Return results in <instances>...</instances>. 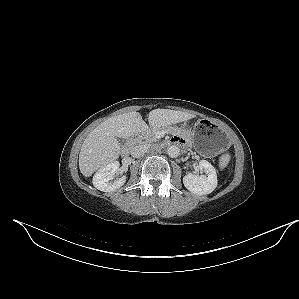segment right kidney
<instances>
[{
	"label": "right kidney",
	"instance_id": "obj_1",
	"mask_svg": "<svg viewBox=\"0 0 299 299\" xmlns=\"http://www.w3.org/2000/svg\"><path fill=\"white\" fill-rule=\"evenodd\" d=\"M119 169V162L114 161L100 168L93 177V185L100 191L111 192L119 189L126 182V176L113 180Z\"/></svg>",
	"mask_w": 299,
	"mask_h": 299
}]
</instances>
